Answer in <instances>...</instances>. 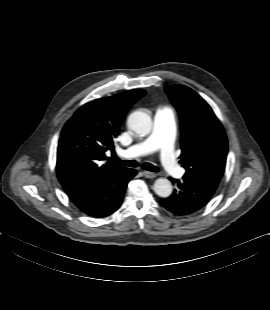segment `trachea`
<instances>
[{
    "instance_id": "1",
    "label": "trachea",
    "mask_w": 270,
    "mask_h": 310,
    "mask_svg": "<svg viewBox=\"0 0 270 310\" xmlns=\"http://www.w3.org/2000/svg\"><path fill=\"white\" fill-rule=\"evenodd\" d=\"M114 160H116L118 163L125 165V166H129V167H137L138 166V163L135 160H121L118 157H114ZM142 168L144 170L152 171V172H158L159 171V169L156 166H154L150 163H144L142 165Z\"/></svg>"
}]
</instances>
